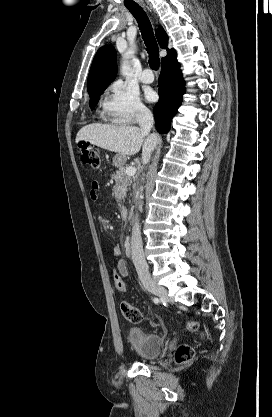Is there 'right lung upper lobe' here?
<instances>
[{
	"instance_id": "1",
	"label": "right lung upper lobe",
	"mask_w": 272,
	"mask_h": 417,
	"mask_svg": "<svg viewBox=\"0 0 272 417\" xmlns=\"http://www.w3.org/2000/svg\"><path fill=\"white\" fill-rule=\"evenodd\" d=\"M156 37L162 48L167 46V35L162 27H159L156 32ZM172 49L167 48L170 53ZM117 72L116 52L111 45L101 47L92 62L90 68L87 89L88 93L99 89L107 88V86L114 80Z\"/></svg>"
}]
</instances>
